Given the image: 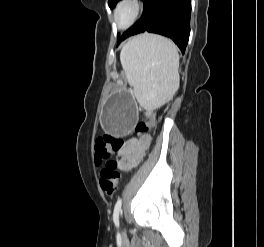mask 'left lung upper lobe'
I'll return each mask as SVG.
<instances>
[{"mask_svg":"<svg viewBox=\"0 0 264 247\" xmlns=\"http://www.w3.org/2000/svg\"><path fill=\"white\" fill-rule=\"evenodd\" d=\"M119 1H120V0H108V5H109L110 8H114L115 5H116ZM142 1L144 2L145 0H142Z\"/></svg>","mask_w":264,"mask_h":247,"instance_id":"obj_1","label":"left lung upper lobe"}]
</instances>
